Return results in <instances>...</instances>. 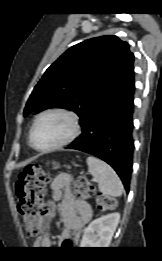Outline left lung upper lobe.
<instances>
[{"label":"left lung upper lobe","instance_id":"1","mask_svg":"<svg viewBox=\"0 0 162 261\" xmlns=\"http://www.w3.org/2000/svg\"><path fill=\"white\" fill-rule=\"evenodd\" d=\"M134 54L113 35L72 46L44 73L35 86L24 116L47 108H65L82 126L93 111L134 75Z\"/></svg>","mask_w":162,"mask_h":261}]
</instances>
